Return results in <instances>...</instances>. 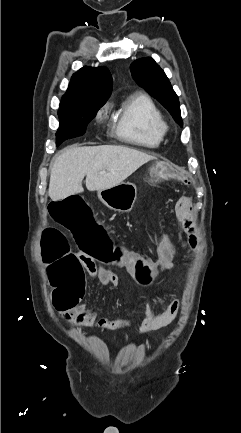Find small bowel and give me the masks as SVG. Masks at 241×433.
Masks as SVG:
<instances>
[{"label":"small bowel","mask_w":241,"mask_h":433,"mask_svg":"<svg viewBox=\"0 0 241 433\" xmlns=\"http://www.w3.org/2000/svg\"><path fill=\"white\" fill-rule=\"evenodd\" d=\"M177 218L181 228L187 236L188 245L194 251L198 247V236L196 233L195 214L192 208L191 199L182 196L178 199L175 207ZM173 251V250H172ZM172 251L161 252L157 250L156 258H147L146 264L154 274H159L172 266ZM79 265L85 268L91 276L103 286H118V275L108 266L96 265L89 257H84L82 253L78 256ZM84 278V276H83ZM179 309L178 300L172 301L167 308L155 314L152 307L147 305L144 315L141 319L136 318H106L100 317L99 314L85 305H75L74 312H60L62 317L72 326L79 328L97 327L100 330L106 329H123L139 324L138 332L146 334L169 325L176 318Z\"/></svg>","instance_id":"obj_1"}]
</instances>
